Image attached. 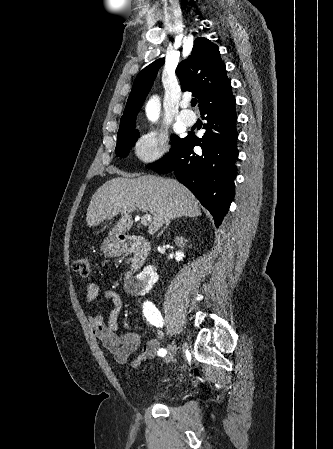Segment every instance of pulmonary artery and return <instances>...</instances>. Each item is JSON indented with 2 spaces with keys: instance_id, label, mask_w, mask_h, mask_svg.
<instances>
[{
  "instance_id": "obj_1",
  "label": "pulmonary artery",
  "mask_w": 333,
  "mask_h": 449,
  "mask_svg": "<svg viewBox=\"0 0 333 449\" xmlns=\"http://www.w3.org/2000/svg\"><path fill=\"white\" fill-rule=\"evenodd\" d=\"M181 106L183 109L179 113L180 120L187 126L193 125L196 121L195 114L192 111L186 109V103H182Z\"/></svg>"
}]
</instances>
